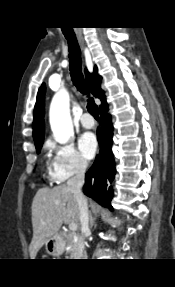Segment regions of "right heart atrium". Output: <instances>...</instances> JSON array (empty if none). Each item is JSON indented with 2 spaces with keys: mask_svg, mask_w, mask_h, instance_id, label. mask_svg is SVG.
Here are the masks:
<instances>
[{
  "mask_svg": "<svg viewBox=\"0 0 175 287\" xmlns=\"http://www.w3.org/2000/svg\"><path fill=\"white\" fill-rule=\"evenodd\" d=\"M47 147L53 155L52 167L49 172L53 182H63L87 169L88 162L73 144H56L49 141Z\"/></svg>",
  "mask_w": 175,
  "mask_h": 287,
  "instance_id": "1",
  "label": "right heart atrium"
}]
</instances>
